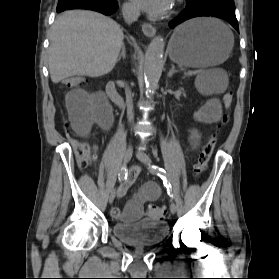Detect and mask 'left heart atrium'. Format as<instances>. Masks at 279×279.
<instances>
[{"mask_svg":"<svg viewBox=\"0 0 279 279\" xmlns=\"http://www.w3.org/2000/svg\"><path fill=\"white\" fill-rule=\"evenodd\" d=\"M133 3L143 11L153 14L162 15L169 11L173 0H132Z\"/></svg>","mask_w":279,"mask_h":279,"instance_id":"39dd6f15","label":"left heart atrium"}]
</instances>
